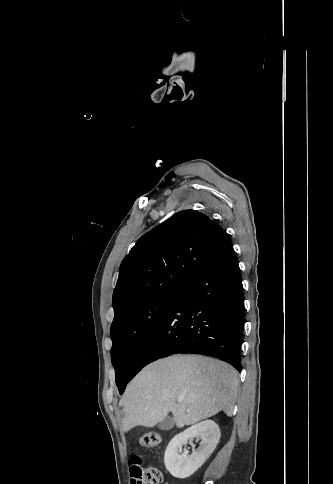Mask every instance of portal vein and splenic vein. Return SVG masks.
<instances>
[{
  "instance_id": "18ae733b",
  "label": "portal vein and splenic vein",
  "mask_w": 333,
  "mask_h": 484,
  "mask_svg": "<svg viewBox=\"0 0 333 484\" xmlns=\"http://www.w3.org/2000/svg\"><path fill=\"white\" fill-rule=\"evenodd\" d=\"M183 401V397H178L177 402L180 403Z\"/></svg>"
}]
</instances>
